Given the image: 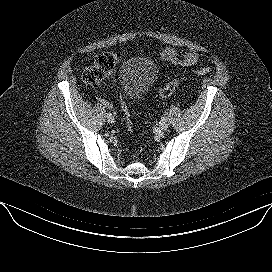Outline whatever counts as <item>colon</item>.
I'll return each mask as SVG.
<instances>
[{
	"instance_id": "1",
	"label": "colon",
	"mask_w": 272,
	"mask_h": 272,
	"mask_svg": "<svg viewBox=\"0 0 272 272\" xmlns=\"http://www.w3.org/2000/svg\"><path fill=\"white\" fill-rule=\"evenodd\" d=\"M121 55L116 52H105L99 54L92 65L85 68L82 72L81 79L90 85L99 84L102 80L110 77L114 71L117 62L120 60ZM212 71L211 67H203L194 71L196 75L208 74ZM180 86V81L173 80L169 82L165 87L158 91V95L161 97H167L173 94ZM121 108L127 121L128 131L132 130V125L129 118V111L126 103L121 101Z\"/></svg>"
}]
</instances>
